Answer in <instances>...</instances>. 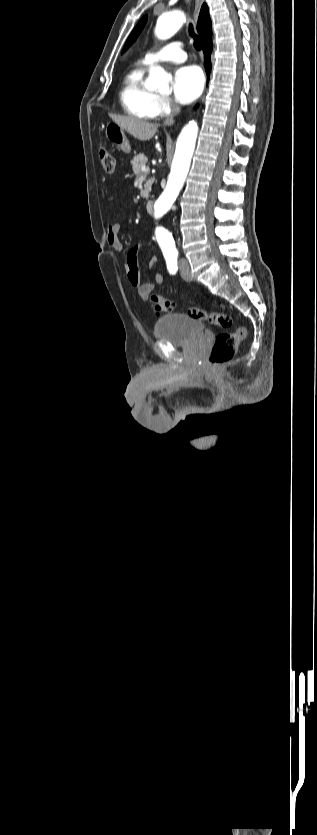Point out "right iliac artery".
<instances>
[{
    "label": "right iliac artery",
    "instance_id": "right-iliac-artery-1",
    "mask_svg": "<svg viewBox=\"0 0 317 835\" xmlns=\"http://www.w3.org/2000/svg\"><path fill=\"white\" fill-rule=\"evenodd\" d=\"M167 269L170 274H175L178 270L177 266V257H168L166 258Z\"/></svg>",
    "mask_w": 317,
    "mask_h": 835
}]
</instances>
